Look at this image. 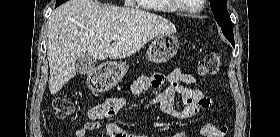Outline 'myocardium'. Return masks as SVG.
<instances>
[{"label": "myocardium", "instance_id": "1", "mask_svg": "<svg viewBox=\"0 0 280 137\" xmlns=\"http://www.w3.org/2000/svg\"><path fill=\"white\" fill-rule=\"evenodd\" d=\"M199 2H200V6H203L204 0H199ZM176 7H182V6H176ZM200 10H201L200 8H198V9H189V8L185 9V11L190 12V13H198Z\"/></svg>", "mask_w": 280, "mask_h": 137}]
</instances>
